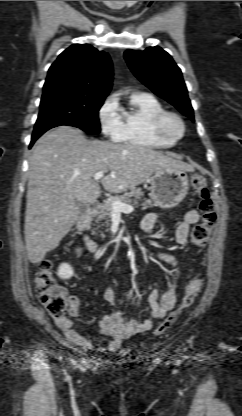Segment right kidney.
I'll return each instance as SVG.
<instances>
[{
    "label": "right kidney",
    "instance_id": "ca27d5eb",
    "mask_svg": "<svg viewBox=\"0 0 242 416\" xmlns=\"http://www.w3.org/2000/svg\"><path fill=\"white\" fill-rule=\"evenodd\" d=\"M57 275L62 279H69L73 276V269L68 263L60 265Z\"/></svg>",
    "mask_w": 242,
    "mask_h": 416
}]
</instances>
